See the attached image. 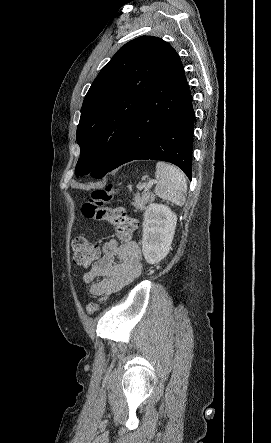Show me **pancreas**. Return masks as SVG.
I'll list each match as a JSON object with an SVG mask.
<instances>
[{"label":"pancreas","instance_id":"1","mask_svg":"<svg viewBox=\"0 0 271 443\" xmlns=\"http://www.w3.org/2000/svg\"><path fill=\"white\" fill-rule=\"evenodd\" d=\"M155 198H154V194H151V192H145V194H143L142 198H140V196H135V198H133V206L135 208V210H146L145 206L146 204H151V202H154Z\"/></svg>","mask_w":271,"mask_h":443}]
</instances>
